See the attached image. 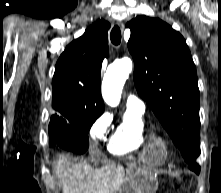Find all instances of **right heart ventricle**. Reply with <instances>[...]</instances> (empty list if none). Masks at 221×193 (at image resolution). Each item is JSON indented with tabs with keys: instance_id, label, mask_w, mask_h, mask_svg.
I'll return each instance as SVG.
<instances>
[{
	"instance_id": "obj_1",
	"label": "right heart ventricle",
	"mask_w": 221,
	"mask_h": 193,
	"mask_svg": "<svg viewBox=\"0 0 221 193\" xmlns=\"http://www.w3.org/2000/svg\"><path fill=\"white\" fill-rule=\"evenodd\" d=\"M146 138L147 126L143 112L127 108L108 142V150L119 156L133 154L142 148Z\"/></svg>"
}]
</instances>
